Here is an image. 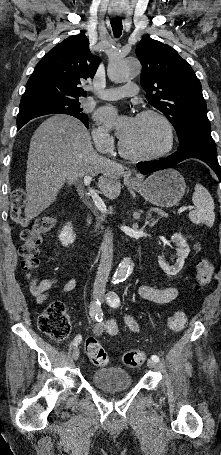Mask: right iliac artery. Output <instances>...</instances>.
<instances>
[{
    "label": "right iliac artery",
    "mask_w": 221,
    "mask_h": 455,
    "mask_svg": "<svg viewBox=\"0 0 221 455\" xmlns=\"http://www.w3.org/2000/svg\"><path fill=\"white\" fill-rule=\"evenodd\" d=\"M90 316L92 319H95L98 322H101L103 320V312L101 309V303L100 301H94L90 305ZM82 340L81 335H77L73 341V346H78Z\"/></svg>",
    "instance_id": "right-iliac-artery-1"
}]
</instances>
